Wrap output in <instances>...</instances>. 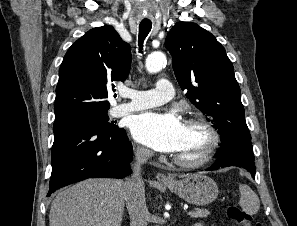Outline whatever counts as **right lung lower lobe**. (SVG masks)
I'll return each mask as SVG.
<instances>
[{
    "mask_svg": "<svg viewBox=\"0 0 297 226\" xmlns=\"http://www.w3.org/2000/svg\"><path fill=\"white\" fill-rule=\"evenodd\" d=\"M50 196L57 189L87 178H124L131 174L132 145L124 129L106 131L80 117L53 125Z\"/></svg>",
    "mask_w": 297,
    "mask_h": 226,
    "instance_id": "obj_1",
    "label": "right lung lower lobe"
}]
</instances>
